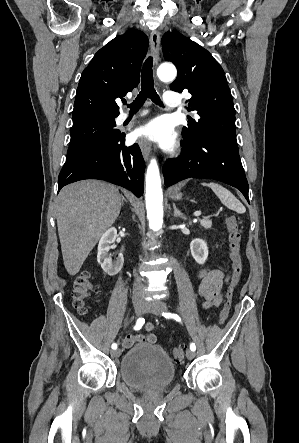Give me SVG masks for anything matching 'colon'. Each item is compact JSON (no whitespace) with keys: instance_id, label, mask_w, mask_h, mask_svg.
I'll list each match as a JSON object with an SVG mask.
<instances>
[{"instance_id":"5ec220e1","label":"colon","mask_w":299,"mask_h":443,"mask_svg":"<svg viewBox=\"0 0 299 443\" xmlns=\"http://www.w3.org/2000/svg\"><path fill=\"white\" fill-rule=\"evenodd\" d=\"M225 226L229 233V255L232 264V280L219 315V324H223L229 316L234 297V290L240 282L243 270V262L240 252L241 230L237 218L234 215L227 216L225 219ZM92 288L93 285L90 272H81L76 277L72 290L73 305L80 314H86L87 312L85 300L89 296ZM184 351L185 348L183 346L175 347L172 351L173 358L177 361L182 360Z\"/></svg>"}]
</instances>
